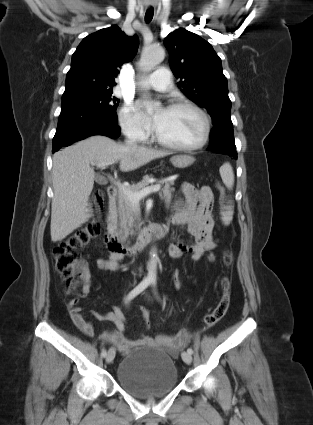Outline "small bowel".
<instances>
[{
    "label": "small bowel",
    "mask_w": 313,
    "mask_h": 425,
    "mask_svg": "<svg viewBox=\"0 0 313 425\" xmlns=\"http://www.w3.org/2000/svg\"><path fill=\"white\" fill-rule=\"evenodd\" d=\"M185 201L178 202L174 214L170 218L172 224L180 225L194 237V242L190 245L181 241H173L169 246V256L173 259L182 257L185 253L191 255L193 261H199L206 252L215 247L212 231L214 221L211 216L213 204V192L208 186L199 189L189 183L181 186ZM122 255L111 253L108 257H100L96 260V265L101 270L119 271ZM90 291L89 275L83 287L81 297L87 296ZM77 299L75 303L77 304ZM82 309L76 305H69V314L74 325L86 336L94 335V327L82 314ZM100 321L111 322L115 328L113 331L104 332L100 339L106 343L113 344L123 353H127L135 346L160 345L171 348L174 352L178 348L185 346L190 340L189 332L182 330L176 336L169 337L158 335L156 338H128L125 335V318L119 307L114 306L106 313H94Z\"/></svg>",
    "instance_id": "1"
}]
</instances>
